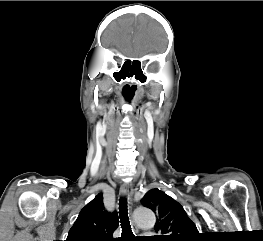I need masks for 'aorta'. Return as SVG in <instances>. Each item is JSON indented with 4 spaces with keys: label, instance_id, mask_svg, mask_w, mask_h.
<instances>
[{
    "label": "aorta",
    "instance_id": "obj_1",
    "mask_svg": "<svg viewBox=\"0 0 263 241\" xmlns=\"http://www.w3.org/2000/svg\"><path fill=\"white\" fill-rule=\"evenodd\" d=\"M134 219L138 226L146 229L153 228L156 222L154 212L147 207H138L134 211Z\"/></svg>",
    "mask_w": 263,
    "mask_h": 241
}]
</instances>
